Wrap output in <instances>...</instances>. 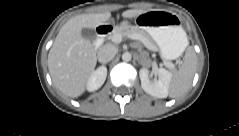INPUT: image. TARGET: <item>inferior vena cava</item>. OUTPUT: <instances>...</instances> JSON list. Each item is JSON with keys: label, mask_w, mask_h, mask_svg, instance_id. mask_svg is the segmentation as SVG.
<instances>
[{"label": "inferior vena cava", "mask_w": 239, "mask_h": 136, "mask_svg": "<svg viewBox=\"0 0 239 136\" xmlns=\"http://www.w3.org/2000/svg\"><path fill=\"white\" fill-rule=\"evenodd\" d=\"M117 53V48L111 44H106L99 48L97 56L98 60L105 64L111 61Z\"/></svg>", "instance_id": "1"}]
</instances>
